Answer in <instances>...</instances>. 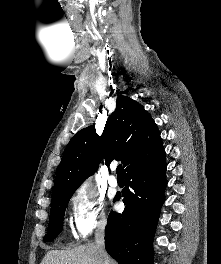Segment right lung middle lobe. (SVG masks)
<instances>
[{
	"instance_id": "right-lung-middle-lobe-1",
	"label": "right lung middle lobe",
	"mask_w": 221,
	"mask_h": 264,
	"mask_svg": "<svg viewBox=\"0 0 221 264\" xmlns=\"http://www.w3.org/2000/svg\"><path fill=\"white\" fill-rule=\"evenodd\" d=\"M73 193L59 196L51 201V213L48 233L44 236V241L53 240L62 230L65 209Z\"/></svg>"
}]
</instances>
